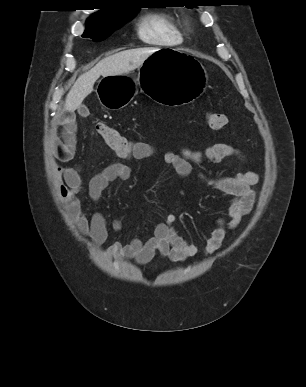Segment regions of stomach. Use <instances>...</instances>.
<instances>
[{"instance_id": "obj_1", "label": "stomach", "mask_w": 306, "mask_h": 387, "mask_svg": "<svg viewBox=\"0 0 306 387\" xmlns=\"http://www.w3.org/2000/svg\"><path fill=\"white\" fill-rule=\"evenodd\" d=\"M207 81L206 70L197 59L173 46H158L138 68L136 79L129 75L104 77L97 95L110 109L128 105L135 91H146L161 108H187Z\"/></svg>"}]
</instances>
